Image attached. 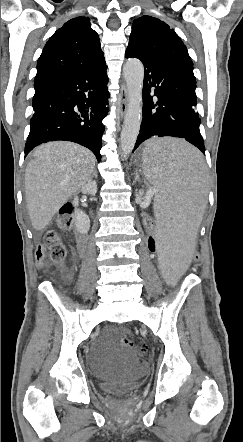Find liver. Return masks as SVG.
I'll list each match as a JSON object with an SVG mask.
<instances>
[{"mask_svg": "<svg viewBox=\"0 0 243 442\" xmlns=\"http://www.w3.org/2000/svg\"><path fill=\"white\" fill-rule=\"evenodd\" d=\"M95 162L90 150L72 142H49L34 150L25 172V198L36 231L44 229L61 206L86 184Z\"/></svg>", "mask_w": 243, "mask_h": 442, "instance_id": "6515ba94", "label": "liver"}]
</instances>
